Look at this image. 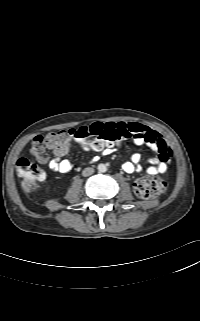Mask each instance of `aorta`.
<instances>
[{"label": "aorta", "mask_w": 200, "mask_h": 321, "mask_svg": "<svg viewBox=\"0 0 200 321\" xmlns=\"http://www.w3.org/2000/svg\"><path fill=\"white\" fill-rule=\"evenodd\" d=\"M97 169L100 173H104L107 171V167L105 164H99Z\"/></svg>", "instance_id": "aorta-1"}]
</instances>
